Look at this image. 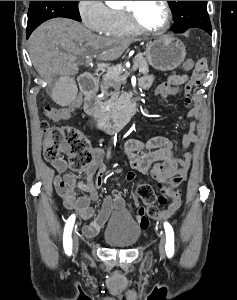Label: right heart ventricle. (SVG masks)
<instances>
[{"label":"right heart ventricle","mask_w":237,"mask_h":300,"mask_svg":"<svg viewBox=\"0 0 237 300\" xmlns=\"http://www.w3.org/2000/svg\"><path fill=\"white\" fill-rule=\"evenodd\" d=\"M112 34L135 35L138 31L131 25L123 8L112 10Z\"/></svg>","instance_id":"1"}]
</instances>
